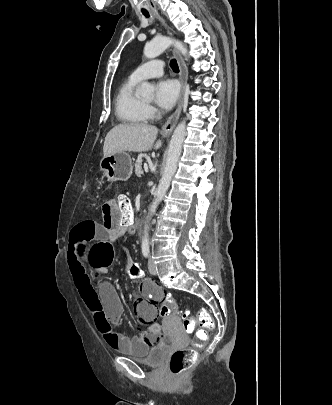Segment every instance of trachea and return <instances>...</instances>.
Segmentation results:
<instances>
[{"instance_id": "1", "label": "trachea", "mask_w": 332, "mask_h": 405, "mask_svg": "<svg viewBox=\"0 0 332 405\" xmlns=\"http://www.w3.org/2000/svg\"><path fill=\"white\" fill-rule=\"evenodd\" d=\"M143 15H145L146 17H149V13L147 11H142ZM170 67L172 68V70L174 72H179V67L177 64V61L175 59H172L170 61Z\"/></svg>"}]
</instances>
